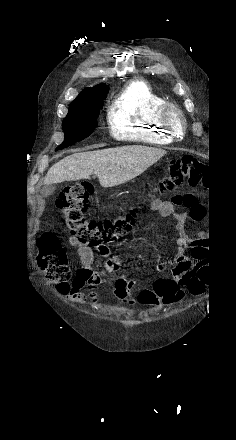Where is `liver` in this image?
Returning a JSON list of instances; mask_svg holds the SVG:
<instances>
[{"label":"liver","mask_w":236,"mask_h":440,"mask_svg":"<svg viewBox=\"0 0 236 440\" xmlns=\"http://www.w3.org/2000/svg\"><path fill=\"white\" fill-rule=\"evenodd\" d=\"M165 154L163 149L140 145L74 153L48 170L44 184L89 179L95 174L102 187H114L139 176Z\"/></svg>","instance_id":"6515ba94"}]
</instances>
